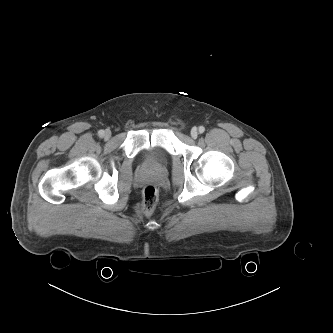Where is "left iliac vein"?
Listing matches in <instances>:
<instances>
[{
  "label": "left iliac vein",
  "mask_w": 333,
  "mask_h": 333,
  "mask_svg": "<svg viewBox=\"0 0 333 333\" xmlns=\"http://www.w3.org/2000/svg\"><path fill=\"white\" fill-rule=\"evenodd\" d=\"M191 137H192L193 139H196V138L198 137V130H197V128H193V129L191 130Z\"/></svg>",
  "instance_id": "1"
}]
</instances>
